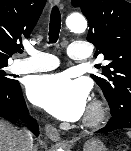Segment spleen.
Wrapping results in <instances>:
<instances>
[{"instance_id":"1","label":"spleen","mask_w":131,"mask_h":151,"mask_svg":"<svg viewBox=\"0 0 131 151\" xmlns=\"http://www.w3.org/2000/svg\"><path fill=\"white\" fill-rule=\"evenodd\" d=\"M127 135L131 138V132H128Z\"/></svg>"}]
</instances>
